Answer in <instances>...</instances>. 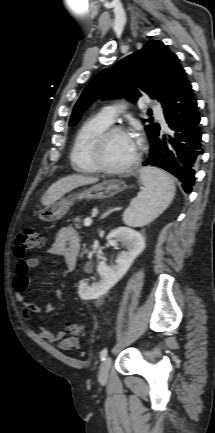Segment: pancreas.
Listing matches in <instances>:
<instances>
[{
	"instance_id": "pancreas-1",
	"label": "pancreas",
	"mask_w": 215,
	"mask_h": 433,
	"mask_svg": "<svg viewBox=\"0 0 215 433\" xmlns=\"http://www.w3.org/2000/svg\"><path fill=\"white\" fill-rule=\"evenodd\" d=\"M74 220V222H75V227L77 228V229H81L82 228V218L80 217V216H78V217H76V218H74L73 219Z\"/></svg>"
}]
</instances>
